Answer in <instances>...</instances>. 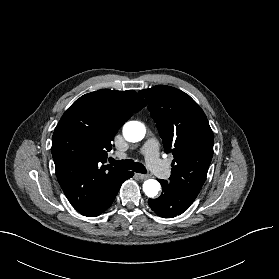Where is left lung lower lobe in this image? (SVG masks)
I'll return each instance as SVG.
<instances>
[{"instance_id": "1", "label": "left lung lower lobe", "mask_w": 279, "mask_h": 279, "mask_svg": "<svg viewBox=\"0 0 279 279\" xmlns=\"http://www.w3.org/2000/svg\"><path fill=\"white\" fill-rule=\"evenodd\" d=\"M159 182L162 194L156 199H149L148 204L160 217L170 218L182 214L198 195L177 189L165 180L159 179Z\"/></svg>"}]
</instances>
